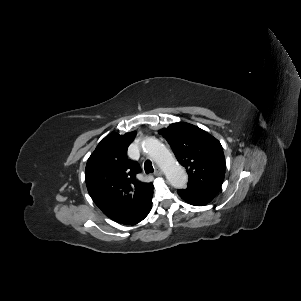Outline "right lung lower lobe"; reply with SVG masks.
Returning a JSON list of instances; mask_svg holds the SVG:
<instances>
[{
	"instance_id": "obj_1",
	"label": "right lung lower lobe",
	"mask_w": 301,
	"mask_h": 301,
	"mask_svg": "<svg viewBox=\"0 0 301 301\" xmlns=\"http://www.w3.org/2000/svg\"><path fill=\"white\" fill-rule=\"evenodd\" d=\"M152 195L149 197L146 205L143 207L141 212L127 224L134 225L136 223H139L148 215V213L150 212L151 207H152Z\"/></svg>"
}]
</instances>
